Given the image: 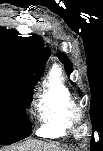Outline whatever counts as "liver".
<instances>
[{"mask_svg": "<svg viewBox=\"0 0 103 151\" xmlns=\"http://www.w3.org/2000/svg\"><path fill=\"white\" fill-rule=\"evenodd\" d=\"M9 151H66L54 144L46 143L40 140L30 139L21 145L12 147Z\"/></svg>", "mask_w": 103, "mask_h": 151, "instance_id": "liver-1", "label": "liver"}]
</instances>
